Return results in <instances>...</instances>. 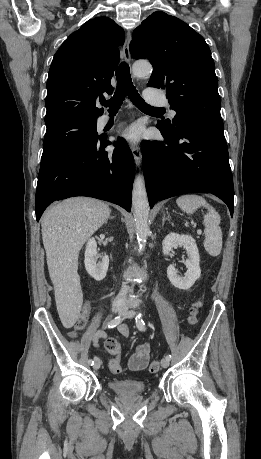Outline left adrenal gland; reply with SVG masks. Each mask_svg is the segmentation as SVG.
I'll list each match as a JSON object with an SVG mask.
<instances>
[{
  "label": "left adrenal gland",
  "mask_w": 261,
  "mask_h": 459,
  "mask_svg": "<svg viewBox=\"0 0 261 459\" xmlns=\"http://www.w3.org/2000/svg\"><path fill=\"white\" fill-rule=\"evenodd\" d=\"M168 220L170 221V218L169 217H166L165 213L163 214V218H162V226L164 225L165 221Z\"/></svg>",
  "instance_id": "1"
}]
</instances>
